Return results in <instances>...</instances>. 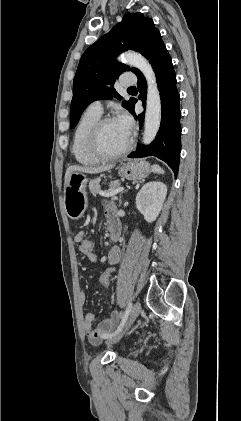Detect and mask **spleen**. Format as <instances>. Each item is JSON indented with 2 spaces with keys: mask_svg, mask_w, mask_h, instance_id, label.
Segmentation results:
<instances>
[{
  "mask_svg": "<svg viewBox=\"0 0 241 421\" xmlns=\"http://www.w3.org/2000/svg\"><path fill=\"white\" fill-rule=\"evenodd\" d=\"M152 171L154 173H158V174H163L164 173V170L159 165H153L152 166Z\"/></svg>",
  "mask_w": 241,
  "mask_h": 421,
  "instance_id": "obj_1",
  "label": "spleen"
}]
</instances>
